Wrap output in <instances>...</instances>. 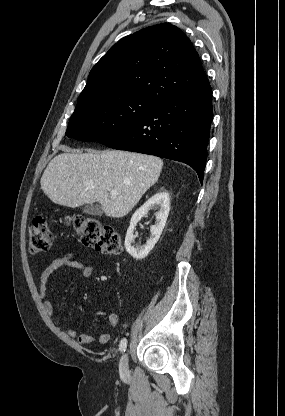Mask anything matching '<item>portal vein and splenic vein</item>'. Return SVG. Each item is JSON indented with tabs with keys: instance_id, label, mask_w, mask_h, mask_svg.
I'll return each mask as SVG.
<instances>
[{
	"instance_id": "18ae733b",
	"label": "portal vein and splenic vein",
	"mask_w": 285,
	"mask_h": 416,
	"mask_svg": "<svg viewBox=\"0 0 285 416\" xmlns=\"http://www.w3.org/2000/svg\"><path fill=\"white\" fill-rule=\"evenodd\" d=\"M110 196L111 198H115V196H118L117 190H110Z\"/></svg>"
}]
</instances>
